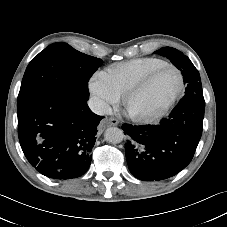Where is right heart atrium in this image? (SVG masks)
<instances>
[{"label": "right heart atrium", "mask_w": 227, "mask_h": 227, "mask_svg": "<svg viewBox=\"0 0 227 227\" xmlns=\"http://www.w3.org/2000/svg\"><path fill=\"white\" fill-rule=\"evenodd\" d=\"M88 89L97 108L102 112L117 104L121 97L105 72L94 74L88 82Z\"/></svg>", "instance_id": "right-heart-atrium-1"}]
</instances>
